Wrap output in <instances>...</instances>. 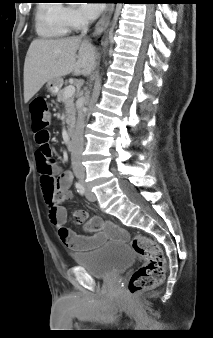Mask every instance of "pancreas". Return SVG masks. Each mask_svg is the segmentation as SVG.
Wrapping results in <instances>:
<instances>
[{"mask_svg": "<svg viewBox=\"0 0 213 338\" xmlns=\"http://www.w3.org/2000/svg\"><path fill=\"white\" fill-rule=\"evenodd\" d=\"M64 91L65 89H60L57 93V101L58 102H64L65 103V109H66V123L69 127H72L75 123L76 119V109L74 104V96L65 98L64 97Z\"/></svg>", "mask_w": 213, "mask_h": 338, "instance_id": "1", "label": "pancreas"}]
</instances>
